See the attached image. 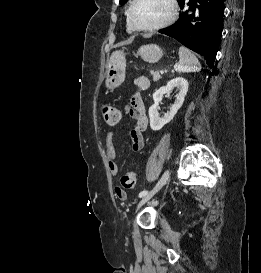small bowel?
I'll use <instances>...</instances> for the list:
<instances>
[{"label":"small bowel","mask_w":261,"mask_h":273,"mask_svg":"<svg viewBox=\"0 0 261 273\" xmlns=\"http://www.w3.org/2000/svg\"><path fill=\"white\" fill-rule=\"evenodd\" d=\"M134 84L140 90H145L149 87V80L144 76H140L134 79ZM124 111L134 121V127L130 133L132 140L131 148L135 152L141 151L144 148L143 133L148 128V118L143 97L140 92H137L132 96L130 104L125 106ZM114 141L115 131L112 130L107 133L105 138V154L111 175L117 176L119 169L116 160ZM115 195L120 200H126L127 198L126 192L120 191L118 187L115 188Z\"/></svg>","instance_id":"c3829d8e"}]
</instances>
